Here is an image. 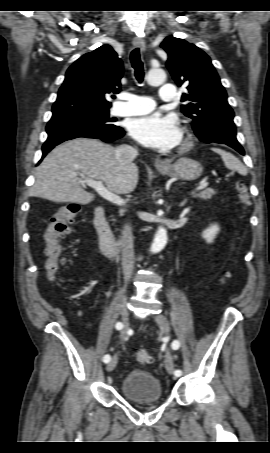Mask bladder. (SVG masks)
Wrapping results in <instances>:
<instances>
[{"label": "bladder", "mask_w": 270, "mask_h": 453, "mask_svg": "<svg viewBox=\"0 0 270 453\" xmlns=\"http://www.w3.org/2000/svg\"><path fill=\"white\" fill-rule=\"evenodd\" d=\"M122 395L131 402H157L163 399L161 382L147 371L132 370L120 383Z\"/></svg>", "instance_id": "31cf9c89"}]
</instances>
